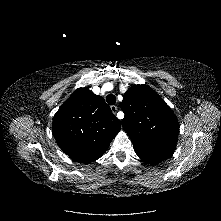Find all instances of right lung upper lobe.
Returning <instances> with one entry per match:
<instances>
[{
  "mask_svg": "<svg viewBox=\"0 0 221 221\" xmlns=\"http://www.w3.org/2000/svg\"><path fill=\"white\" fill-rule=\"evenodd\" d=\"M121 129L105 100L88 88L77 89L53 118L52 131L61 149L73 160L100 158Z\"/></svg>",
  "mask_w": 221,
  "mask_h": 221,
  "instance_id": "obj_1",
  "label": "right lung upper lobe"
}]
</instances>
